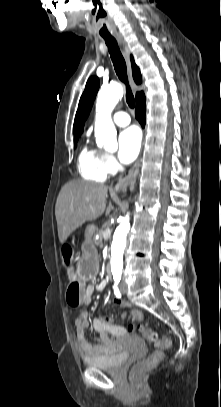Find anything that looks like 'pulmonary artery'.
Wrapping results in <instances>:
<instances>
[{"instance_id": "pulmonary-artery-1", "label": "pulmonary artery", "mask_w": 221, "mask_h": 407, "mask_svg": "<svg viewBox=\"0 0 221 407\" xmlns=\"http://www.w3.org/2000/svg\"><path fill=\"white\" fill-rule=\"evenodd\" d=\"M131 119L129 115L124 111L116 112L113 116V122L120 127L127 126Z\"/></svg>"}]
</instances>
